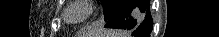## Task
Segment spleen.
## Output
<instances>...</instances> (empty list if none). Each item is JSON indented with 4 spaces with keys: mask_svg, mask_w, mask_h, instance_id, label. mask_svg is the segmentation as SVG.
<instances>
[{
    "mask_svg": "<svg viewBox=\"0 0 219 37\" xmlns=\"http://www.w3.org/2000/svg\"><path fill=\"white\" fill-rule=\"evenodd\" d=\"M107 37H128L127 33L119 31H111Z\"/></svg>",
    "mask_w": 219,
    "mask_h": 37,
    "instance_id": "1",
    "label": "spleen"
}]
</instances>
